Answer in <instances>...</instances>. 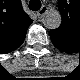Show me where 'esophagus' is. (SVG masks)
Wrapping results in <instances>:
<instances>
[{
  "label": "esophagus",
  "mask_w": 80,
  "mask_h": 80,
  "mask_svg": "<svg viewBox=\"0 0 80 80\" xmlns=\"http://www.w3.org/2000/svg\"><path fill=\"white\" fill-rule=\"evenodd\" d=\"M42 9H43V7H42L41 10L37 13V15H38L39 18L43 17V15L47 12V10L43 11Z\"/></svg>",
  "instance_id": "obj_1"
}]
</instances>
